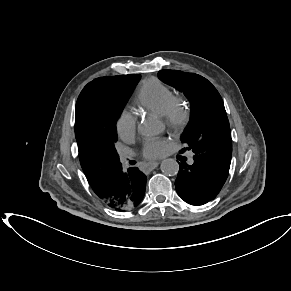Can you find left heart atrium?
<instances>
[{
    "mask_svg": "<svg viewBox=\"0 0 291 291\" xmlns=\"http://www.w3.org/2000/svg\"><path fill=\"white\" fill-rule=\"evenodd\" d=\"M168 150V141L163 138L147 139L142 147V155L147 159L162 157Z\"/></svg>",
    "mask_w": 291,
    "mask_h": 291,
    "instance_id": "left-heart-atrium-1",
    "label": "left heart atrium"
}]
</instances>
